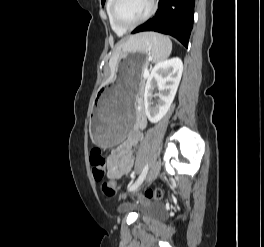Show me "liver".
<instances>
[{"mask_svg": "<svg viewBox=\"0 0 264 247\" xmlns=\"http://www.w3.org/2000/svg\"><path fill=\"white\" fill-rule=\"evenodd\" d=\"M142 35H143V34H138V35H135V36H133V37H130V39H129L126 43H124V44H122V45H120V46L118 47V52H117L116 56L113 57V58L110 60V63H109V66H110V68H111V74H112V75H113L114 72H115V68H116L117 63H118V58H119V54H120V52H121V49L124 51V50L126 49V46H128V47L130 48L131 45H132V43H133L136 39H138L139 37H141Z\"/></svg>", "mask_w": 264, "mask_h": 247, "instance_id": "1", "label": "liver"}]
</instances>
